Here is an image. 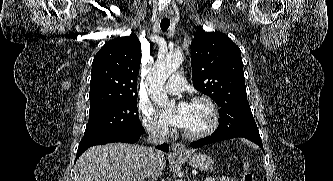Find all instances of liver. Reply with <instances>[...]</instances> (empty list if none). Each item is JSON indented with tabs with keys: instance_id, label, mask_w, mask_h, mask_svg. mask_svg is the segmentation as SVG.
<instances>
[{
	"instance_id": "6515ba94",
	"label": "liver",
	"mask_w": 333,
	"mask_h": 181,
	"mask_svg": "<svg viewBox=\"0 0 333 181\" xmlns=\"http://www.w3.org/2000/svg\"><path fill=\"white\" fill-rule=\"evenodd\" d=\"M149 155L150 149L125 143L91 147L77 161V181H144ZM159 164H166L163 154Z\"/></svg>"
}]
</instances>
